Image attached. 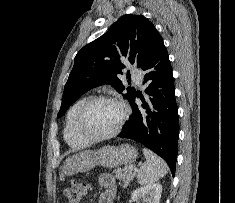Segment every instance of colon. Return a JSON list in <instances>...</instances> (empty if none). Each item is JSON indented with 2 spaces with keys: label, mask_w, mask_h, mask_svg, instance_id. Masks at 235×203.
I'll use <instances>...</instances> for the list:
<instances>
[{
  "label": "colon",
  "mask_w": 235,
  "mask_h": 203,
  "mask_svg": "<svg viewBox=\"0 0 235 203\" xmlns=\"http://www.w3.org/2000/svg\"><path fill=\"white\" fill-rule=\"evenodd\" d=\"M89 186L86 183L72 181L69 186L64 189V197L66 203H80L86 195Z\"/></svg>",
  "instance_id": "5ec220e1"
}]
</instances>
